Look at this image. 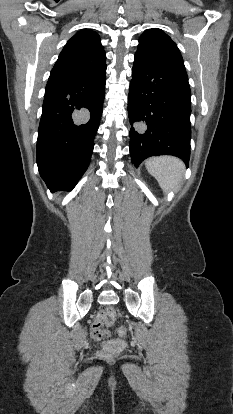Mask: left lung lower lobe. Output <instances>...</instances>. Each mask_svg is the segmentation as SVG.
Masks as SVG:
<instances>
[{
	"instance_id": "obj_1",
	"label": "left lung lower lobe",
	"mask_w": 233,
	"mask_h": 414,
	"mask_svg": "<svg viewBox=\"0 0 233 414\" xmlns=\"http://www.w3.org/2000/svg\"><path fill=\"white\" fill-rule=\"evenodd\" d=\"M191 91L185 70L135 54L128 96L130 154L135 166L150 156L190 157Z\"/></svg>"
}]
</instances>
